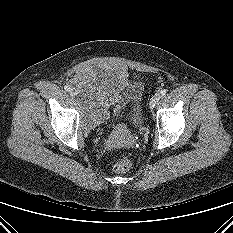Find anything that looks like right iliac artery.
<instances>
[{"instance_id": "82829eb1", "label": "right iliac artery", "mask_w": 233, "mask_h": 233, "mask_svg": "<svg viewBox=\"0 0 233 233\" xmlns=\"http://www.w3.org/2000/svg\"><path fill=\"white\" fill-rule=\"evenodd\" d=\"M64 89H65L66 91H69V90H70V86H69V85H66V86L64 87Z\"/></svg>"}]
</instances>
